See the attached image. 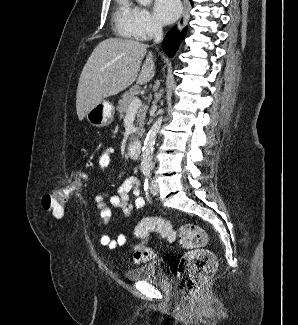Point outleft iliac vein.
I'll return each instance as SVG.
<instances>
[{
	"mask_svg": "<svg viewBox=\"0 0 298 325\" xmlns=\"http://www.w3.org/2000/svg\"><path fill=\"white\" fill-rule=\"evenodd\" d=\"M150 192L154 196L157 195L158 192H159V187H158V185H157V183H156L155 180H151V182H150Z\"/></svg>",
	"mask_w": 298,
	"mask_h": 325,
	"instance_id": "left-iliac-vein-1",
	"label": "left iliac vein"
}]
</instances>
